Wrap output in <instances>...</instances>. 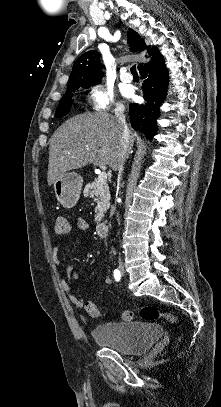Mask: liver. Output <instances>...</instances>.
Wrapping results in <instances>:
<instances>
[{
	"mask_svg": "<svg viewBox=\"0 0 221 407\" xmlns=\"http://www.w3.org/2000/svg\"><path fill=\"white\" fill-rule=\"evenodd\" d=\"M121 137L122 128L116 117L105 112L67 120L49 141L48 185L65 172L91 163L116 170L122 154ZM135 139L136 134L130 131V151Z\"/></svg>",
	"mask_w": 221,
	"mask_h": 407,
	"instance_id": "obj_1",
	"label": "liver"
}]
</instances>
